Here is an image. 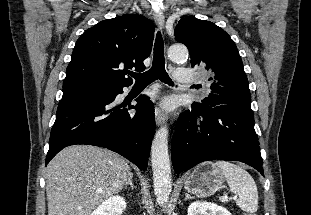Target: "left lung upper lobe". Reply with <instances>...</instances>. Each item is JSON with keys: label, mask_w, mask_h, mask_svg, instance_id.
Returning a JSON list of instances; mask_svg holds the SVG:
<instances>
[{"label": "left lung upper lobe", "mask_w": 311, "mask_h": 215, "mask_svg": "<svg viewBox=\"0 0 311 215\" xmlns=\"http://www.w3.org/2000/svg\"><path fill=\"white\" fill-rule=\"evenodd\" d=\"M178 42L190 52L191 66L210 72L211 93L196 106L238 105L251 108L243 63L228 33L206 20L182 18L174 30Z\"/></svg>", "instance_id": "obj_1"}]
</instances>
